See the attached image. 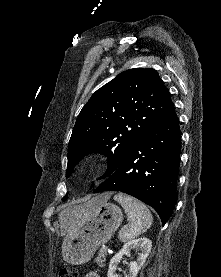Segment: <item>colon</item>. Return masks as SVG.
Instances as JSON below:
<instances>
[{"instance_id": "1", "label": "colon", "mask_w": 221, "mask_h": 277, "mask_svg": "<svg viewBox=\"0 0 221 277\" xmlns=\"http://www.w3.org/2000/svg\"><path fill=\"white\" fill-rule=\"evenodd\" d=\"M59 277H78V272L73 267H65L60 270Z\"/></svg>"}]
</instances>
